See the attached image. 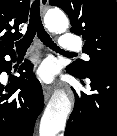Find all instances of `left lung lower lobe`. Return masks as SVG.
Segmentation results:
<instances>
[{"mask_svg": "<svg viewBox=\"0 0 117 136\" xmlns=\"http://www.w3.org/2000/svg\"><path fill=\"white\" fill-rule=\"evenodd\" d=\"M83 79H90L92 94L75 93V106L64 136H117V65L93 67Z\"/></svg>", "mask_w": 117, "mask_h": 136, "instance_id": "0a47b994", "label": "left lung lower lobe"}]
</instances>
